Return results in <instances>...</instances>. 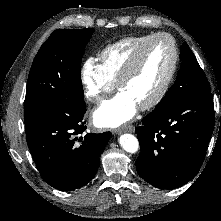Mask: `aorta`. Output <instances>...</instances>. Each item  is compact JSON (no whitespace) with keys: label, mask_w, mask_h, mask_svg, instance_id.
Wrapping results in <instances>:
<instances>
[{"label":"aorta","mask_w":221,"mask_h":221,"mask_svg":"<svg viewBox=\"0 0 221 221\" xmlns=\"http://www.w3.org/2000/svg\"><path fill=\"white\" fill-rule=\"evenodd\" d=\"M119 143L122 148L129 153L137 152L139 148V142L137 138L132 134H123L119 138Z\"/></svg>","instance_id":"obj_1"}]
</instances>
